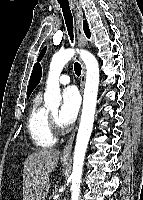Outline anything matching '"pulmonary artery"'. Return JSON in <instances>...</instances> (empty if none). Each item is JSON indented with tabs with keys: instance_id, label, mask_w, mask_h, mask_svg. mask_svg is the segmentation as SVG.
Returning a JSON list of instances; mask_svg holds the SVG:
<instances>
[{
	"instance_id": "pulmonary-artery-1",
	"label": "pulmonary artery",
	"mask_w": 143,
	"mask_h": 200,
	"mask_svg": "<svg viewBox=\"0 0 143 200\" xmlns=\"http://www.w3.org/2000/svg\"><path fill=\"white\" fill-rule=\"evenodd\" d=\"M59 83L63 85L70 83V77L68 75H61L59 78Z\"/></svg>"
}]
</instances>
